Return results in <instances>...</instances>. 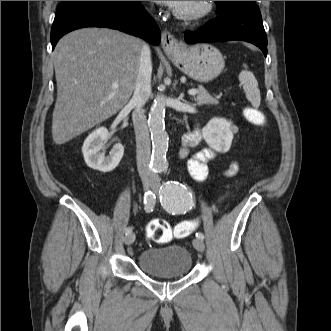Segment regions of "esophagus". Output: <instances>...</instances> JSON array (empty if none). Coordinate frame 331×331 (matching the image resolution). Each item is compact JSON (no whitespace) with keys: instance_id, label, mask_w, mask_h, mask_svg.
I'll use <instances>...</instances> for the list:
<instances>
[{"instance_id":"obj_1","label":"esophagus","mask_w":331,"mask_h":331,"mask_svg":"<svg viewBox=\"0 0 331 331\" xmlns=\"http://www.w3.org/2000/svg\"><path fill=\"white\" fill-rule=\"evenodd\" d=\"M161 44L167 54H173L180 49L178 40L167 30L162 32Z\"/></svg>"}]
</instances>
